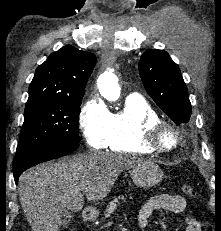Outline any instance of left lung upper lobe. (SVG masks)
Segmentation results:
<instances>
[{"label":"left lung upper lobe","instance_id":"left-lung-upper-lobe-1","mask_svg":"<svg viewBox=\"0 0 221 231\" xmlns=\"http://www.w3.org/2000/svg\"><path fill=\"white\" fill-rule=\"evenodd\" d=\"M139 73L147 93L176 123H187L191 104L179 67L166 51L149 50L142 54Z\"/></svg>","mask_w":221,"mask_h":231}]
</instances>
